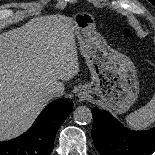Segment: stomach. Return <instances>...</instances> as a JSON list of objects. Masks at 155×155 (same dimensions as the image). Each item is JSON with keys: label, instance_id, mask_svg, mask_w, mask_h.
Instances as JSON below:
<instances>
[{"label": "stomach", "instance_id": "1", "mask_svg": "<svg viewBox=\"0 0 155 155\" xmlns=\"http://www.w3.org/2000/svg\"><path fill=\"white\" fill-rule=\"evenodd\" d=\"M74 35L91 73V82L82 86L83 94H96L103 105L115 114L126 112L137 100L139 82L133 62L113 50L95 31L89 14L72 18Z\"/></svg>", "mask_w": 155, "mask_h": 155}]
</instances>
